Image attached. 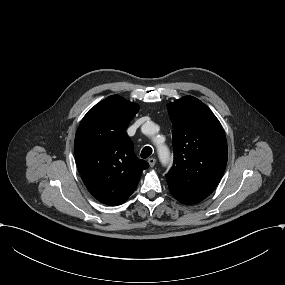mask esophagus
I'll use <instances>...</instances> for the list:
<instances>
[{
	"mask_svg": "<svg viewBox=\"0 0 285 285\" xmlns=\"http://www.w3.org/2000/svg\"><path fill=\"white\" fill-rule=\"evenodd\" d=\"M148 163H149V165H150L151 167H153V166L155 165V163H156V159H155V158H149V159H148Z\"/></svg>",
	"mask_w": 285,
	"mask_h": 285,
	"instance_id": "34e87169",
	"label": "esophagus"
}]
</instances>
